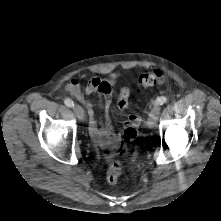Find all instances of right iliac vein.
<instances>
[{
	"label": "right iliac vein",
	"instance_id": "obj_1",
	"mask_svg": "<svg viewBox=\"0 0 221 221\" xmlns=\"http://www.w3.org/2000/svg\"><path fill=\"white\" fill-rule=\"evenodd\" d=\"M73 110L77 116V118L80 120V121H84L85 120V113H84V110L83 108L80 106V105H74L73 106Z\"/></svg>",
	"mask_w": 221,
	"mask_h": 221
}]
</instances>
